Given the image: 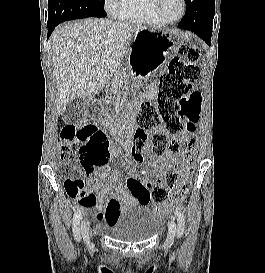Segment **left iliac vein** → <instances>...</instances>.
Listing matches in <instances>:
<instances>
[{"label": "left iliac vein", "instance_id": "left-iliac-vein-1", "mask_svg": "<svg viewBox=\"0 0 265 273\" xmlns=\"http://www.w3.org/2000/svg\"><path fill=\"white\" fill-rule=\"evenodd\" d=\"M176 230H177L176 223L174 221H171L169 224L168 236L165 242L166 246L169 247L173 244Z\"/></svg>", "mask_w": 265, "mask_h": 273}]
</instances>
